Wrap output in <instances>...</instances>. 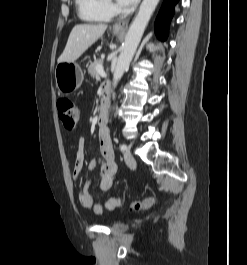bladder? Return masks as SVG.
Wrapping results in <instances>:
<instances>
[{"mask_svg":"<svg viewBox=\"0 0 247 265\" xmlns=\"http://www.w3.org/2000/svg\"><path fill=\"white\" fill-rule=\"evenodd\" d=\"M111 227L117 231H125L128 229L127 224H125L123 222H119V221L112 222Z\"/></svg>","mask_w":247,"mask_h":265,"instance_id":"bladder-1","label":"bladder"}]
</instances>
